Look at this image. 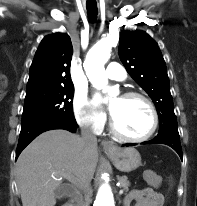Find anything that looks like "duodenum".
I'll list each match as a JSON object with an SVG mask.
<instances>
[{
  "mask_svg": "<svg viewBox=\"0 0 197 206\" xmlns=\"http://www.w3.org/2000/svg\"><path fill=\"white\" fill-rule=\"evenodd\" d=\"M64 206H72L71 204H65Z\"/></svg>",
  "mask_w": 197,
  "mask_h": 206,
  "instance_id": "410a0bca",
  "label": "duodenum"
}]
</instances>
